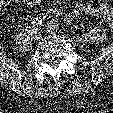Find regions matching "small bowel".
Segmentation results:
<instances>
[{
  "label": "small bowel",
  "instance_id": "c3829d8e",
  "mask_svg": "<svg viewBox=\"0 0 113 113\" xmlns=\"http://www.w3.org/2000/svg\"><path fill=\"white\" fill-rule=\"evenodd\" d=\"M23 1L27 4V8H33L39 5L42 0H0L1 5H6L10 2ZM97 5L78 2L74 4L72 13L77 16H89L95 18L99 24H106L111 32H113V5L107 0H100Z\"/></svg>",
  "mask_w": 113,
  "mask_h": 113
}]
</instances>
